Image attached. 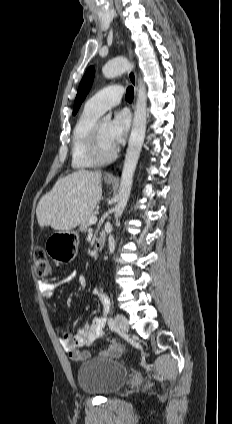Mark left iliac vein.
Masks as SVG:
<instances>
[{"mask_svg": "<svg viewBox=\"0 0 232 424\" xmlns=\"http://www.w3.org/2000/svg\"><path fill=\"white\" fill-rule=\"evenodd\" d=\"M116 326L121 330L123 334H127L129 330L128 321L125 316L117 314L115 316Z\"/></svg>", "mask_w": 232, "mask_h": 424, "instance_id": "obj_1", "label": "left iliac vein"}]
</instances>
